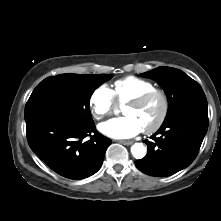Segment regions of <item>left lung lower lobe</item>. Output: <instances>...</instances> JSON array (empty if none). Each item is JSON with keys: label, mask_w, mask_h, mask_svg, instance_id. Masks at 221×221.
Returning a JSON list of instances; mask_svg holds the SVG:
<instances>
[{"label": "left lung lower lobe", "mask_w": 221, "mask_h": 221, "mask_svg": "<svg viewBox=\"0 0 221 221\" xmlns=\"http://www.w3.org/2000/svg\"><path fill=\"white\" fill-rule=\"evenodd\" d=\"M208 129L207 104L192 105L165 120L160 129L145 140L147 155L135 162L145 174L165 177L189 166L198 154Z\"/></svg>", "instance_id": "obj_1"}]
</instances>
